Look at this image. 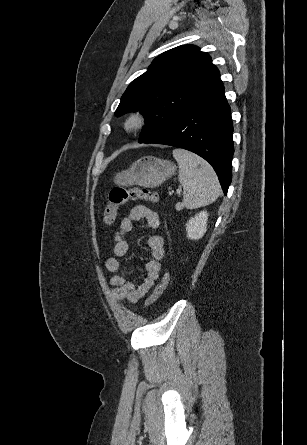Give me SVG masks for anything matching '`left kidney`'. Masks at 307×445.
I'll list each match as a JSON object with an SVG mask.
<instances>
[{"label":"left kidney","mask_w":307,"mask_h":445,"mask_svg":"<svg viewBox=\"0 0 307 445\" xmlns=\"http://www.w3.org/2000/svg\"><path fill=\"white\" fill-rule=\"evenodd\" d=\"M208 212L202 210L195 214L194 218H190L186 225L188 239H202L207 231Z\"/></svg>","instance_id":"1"}]
</instances>
